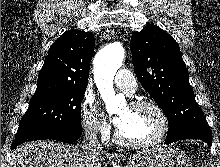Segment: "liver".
Segmentation results:
<instances>
[{"instance_id": "liver-1", "label": "liver", "mask_w": 220, "mask_h": 167, "mask_svg": "<svg viewBox=\"0 0 220 167\" xmlns=\"http://www.w3.org/2000/svg\"><path fill=\"white\" fill-rule=\"evenodd\" d=\"M102 155L49 140L25 142L12 152L10 167H101Z\"/></svg>"}]
</instances>
